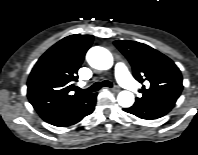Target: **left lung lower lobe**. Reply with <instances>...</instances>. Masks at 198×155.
Segmentation results:
<instances>
[{
    "label": "left lung lower lobe",
    "instance_id": "0a47b994",
    "mask_svg": "<svg viewBox=\"0 0 198 155\" xmlns=\"http://www.w3.org/2000/svg\"><path fill=\"white\" fill-rule=\"evenodd\" d=\"M172 108L170 105H145L135 102L133 106L123 110L141 119L153 120L166 115Z\"/></svg>",
    "mask_w": 198,
    "mask_h": 155
}]
</instances>
